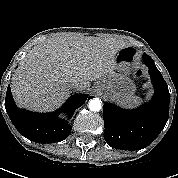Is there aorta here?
<instances>
[{"label": "aorta", "mask_w": 178, "mask_h": 178, "mask_svg": "<svg viewBox=\"0 0 178 178\" xmlns=\"http://www.w3.org/2000/svg\"><path fill=\"white\" fill-rule=\"evenodd\" d=\"M101 101L97 98L95 99H92L90 102H89V109L91 111H95V112H98L101 110Z\"/></svg>", "instance_id": "762f6f07"}]
</instances>
